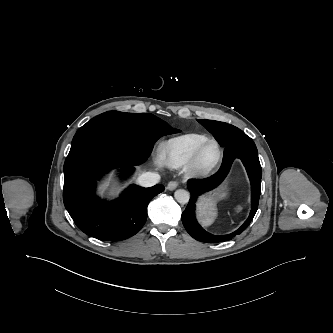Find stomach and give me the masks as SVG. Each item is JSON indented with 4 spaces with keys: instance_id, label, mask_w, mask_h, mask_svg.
Returning a JSON list of instances; mask_svg holds the SVG:
<instances>
[{
    "instance_id": "1",
    "label": "stomach",
    "mask_w": 333,
    "mask_h": 333,
    "mask_svg": "<svg viewBox=\"0 0 333 333\" xmlns=\"http://www.w3.org/2000/svg\"><path fill=\"white\" fill-rule=\"evenodd\" d=\"M228 197V183L225 180L212 191L201 196L198 203V217L204 226H209L217 215L216 204L218 201Z\"/></svg>"
}]
</instances>
